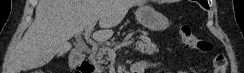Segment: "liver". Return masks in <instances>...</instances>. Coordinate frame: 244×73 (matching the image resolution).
<instances>
[{"mask_svg":"<svg viewBox=\"0 0 244 73\" xmlns=\"http://www.w3.org/2000/svg\"><path fill=\"white\" fill-rule=\"evenodd\" d=\"M139 0H39L35 20L17 45L8 65V73H21L42 67L56 55L70 49L71 39L89 24L99 21L101 30L93 34L97 41L113 35L117 26Z\"/></svg>","mask_w":244,"mask_h":73,"instance_id":"1","label":"liver"}]
</instances>
